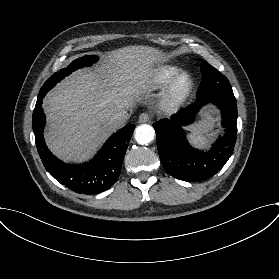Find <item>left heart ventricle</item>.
<instances>
[{"instance_id": "left-heart-ventricle-1", "label": "left heart ventricle", "mask_w": 279, "mask_h": 279, "mask_svg": "<svg viewBox=\"0 0 279 279\" xmlns=\"http://www.w3.org/2000/svg\"><path fill=\"white\" fill-rule=\"evenodd\" d=\"M184 82L181 83V86H183Z\"/></svg>"}]
</instances>
